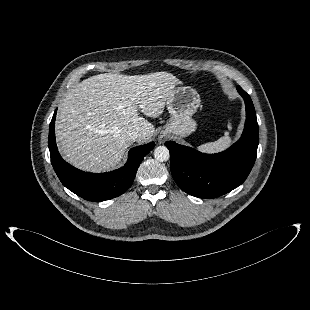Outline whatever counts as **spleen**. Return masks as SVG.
I'll return each instance as SVG.
<instances>
[{
    "label": "spleen",
    "instance_id": "1",
    "mask_svg": "<svg viewBox=\"0 0 310 310\" xmlns=\"http://www.w3.org/2000/svg\"><path fill=\"white\" fill-rule=\"evenodd\" d=\"M228 129L231 130L232 126L229 123L228 124ZM231 144V138L229 136V131L224 132V136L218 139L215 142H210L203 144L198 147V150L205 152V153H215V152H220L228 148Z\"/></svg>",
    "mask_w": 310,
    "mask_h": 310
}]
</instances>
